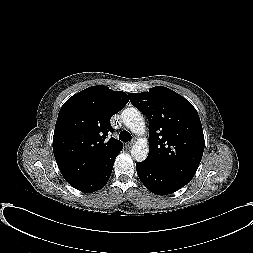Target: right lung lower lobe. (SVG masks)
<instances>
[{"mask_svg":"<svg viewBox=\"0 0 253 253\" xmlns=\"http://www.w3.org/2000/svg\"><path fill=\"white\" fill-rule=\"evenodd\" d=\"M118 153H117V155H118ZM117 155H115L109 161V163L104 168L99 170L98 172L90 175L89 177H86V178H83V179H80L77 181H73L69 184L82 192L90 193V192H94V191L99 190L108 182V180L111 176V173H112L114 160Z\"/></svg>","mask_w":253,"mask_h":253,"instance_id":"obj_1","label":"right lung lower lobe"}]
</instances>
